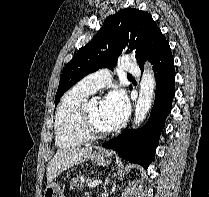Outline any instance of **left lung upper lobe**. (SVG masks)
<instances>
[{
  "label": "left lung upper lobe",
  "instance_id": "1",
  "mask_svg": "<svg viewBox=\"0 0 209 197\" xmlns=\"http://www.w3.org/2000/svg\"><path fill=\"white\" fill-rule=\"evenodd\" d=\"M164 41L161 30L145 11L125 8L109 16L96 36L63 69L55 106L61 96L87 74L102 67L112 70L126 45L129 52L136 49L135 58L141 66Z\"/></svg>",
  "mask_w": 209,
  "mask_h": 197
}]
</instances>
